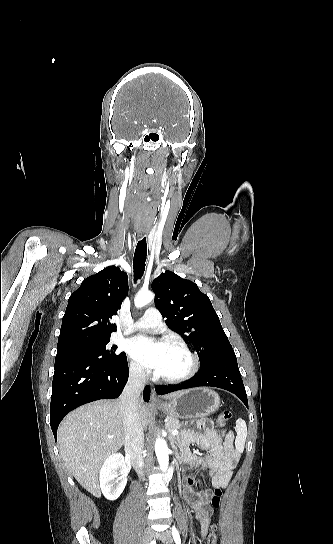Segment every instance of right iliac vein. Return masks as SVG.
Masks as SVG:
<instances>
[{"mask_svg":"<svg viewBox=\"0 0 333 544\" xmlns=\"http://www.w3.org/2000/svg\"><path fill=\"white\" fill-rule=\"evenodd\" d=\"M153 538V531L150 528H146L142 534V544H150Z\"/></svg>","mask_w":333,"mask_h":544,"instance_id":"63e3f726","label":"right iliac vein"}]
</instances>
